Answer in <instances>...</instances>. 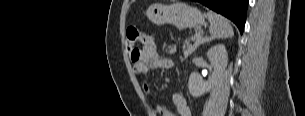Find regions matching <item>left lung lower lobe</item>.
I'll use <instances>...</instances> for the list:
<instances>
[{"label":"left lung lower lobe","mask_w":305,"mask_h":116,"mask_svg":"<svg viewBox=\"0 0 305 116\" xmlns=\"http://www.w3.org/2000/svg\"><path fill=\"white\" fill-rule=\"evenodd\" d=\"M208 8L231 19L239 28L244 30L248 0H196Z\"/></svg>","instance_id":"0a47b994"}]
</instances>
